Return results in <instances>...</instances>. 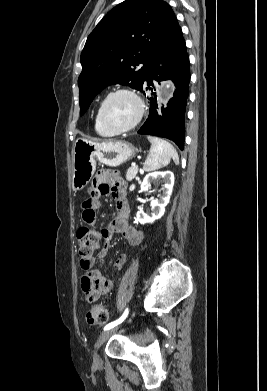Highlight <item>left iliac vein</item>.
Segmentation results:
<instances>
[{
  "label": "left iliac vein",
  "mask_w": 267,
  "mask_h": 391,
  "mask_svg": "<svg viewBox=\"0 0 267 391\" xmlns=\"http://www.w3.org/2000/svg\"><path fill=\"white\" fill-rule=\"evenodd\" d=\"M119 326H115L111 329L105 330L98 338L95 344V351L93 355V366L96 368H100L102 366V360L99 357L97 350L102 346V344L115 332L117 331Z\"/></svg>",
  "instance_id": "4c4485c4"
}]
</instances>
